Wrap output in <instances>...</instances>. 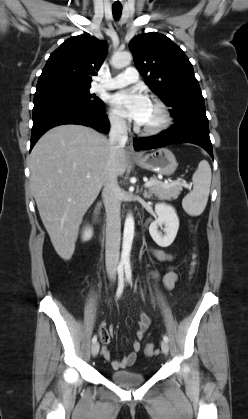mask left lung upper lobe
Masks as SVG:
<instances>
[{
  "label": "left lung upper lobe",
  "instance_id": "obj_1",
  "mask_svg": "<svg viewBox=\"0 0 248 419\" xmlns=\"http://www.w3.org/2000/svg\"><path fill=\"white\" fill-rule=\"evenodd\" d=\"M135 66L145 83L168 106L172 117L191 109H205L193 66L182 49L167 36L150 32L129 43Z\"/></svg>",
  "mask_w": 248,
  "mask_h": 419
}]
</instances>
